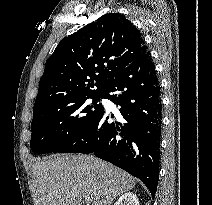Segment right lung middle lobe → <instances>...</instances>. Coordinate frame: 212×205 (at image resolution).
<instances>
[{
    "label": "right lung middle lobe",
    "mask_w": 212,
    "mask_h": 205,
    "mask_svg": "<svg viewBox=\"0 0 212 205\" xmlns=\"http://www.w3.org/2000/svg\"><path fill=\"white\" fill-rule=\"evenodd\" d=\"M103 93L77 99L71 103L33 112L31 123L32 151L43 154L57 152L99 116L104 107L99 103ZM92 99V103L89 102Z\"/></svg>",
    "instance_id": "dd1d6c3e"
}]
</instances>
